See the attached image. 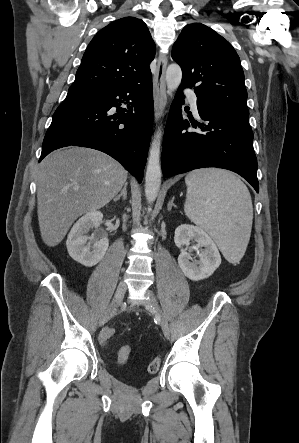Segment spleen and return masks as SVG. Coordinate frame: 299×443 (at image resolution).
Segmentation results:
<instances>
[{"label":"spleen","instance_id":"spleen-1","mask_svg":"<svg viewBox=\"0 0 299 443\" xmlns=\"http://www.w3.org/2000/svg\"><path fill=\"white\" fill-rule=\"evenodd\" d=\"M185 183L187 217L210 234L230 263L239 262L253 220L252 200L245 184L231 172L220 169L191 172Z\"/></svg>","mask_w":299,"mask_h":443}]
</instances>
